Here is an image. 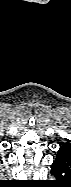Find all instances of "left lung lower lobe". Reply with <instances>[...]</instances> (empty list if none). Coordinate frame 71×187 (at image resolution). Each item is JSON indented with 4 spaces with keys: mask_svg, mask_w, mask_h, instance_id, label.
<instances>
[{
    "mask_svg": "<svg viewBox=\"0 0 71 187\" xmlns=\"http://www.w3.org/2000/svg\"><path fill=\"white\" fill-rule=\"evenodd\" d=\"M51 173L58 180L56 182H68L71 179V145L61 144L56 158L51 166Z\"/></svg>",
    "mask_w": 71,
    "mask_h": 187,
    "instance_id": "obj_1",
    "label": "left lung lower lobe"
}]
</instances>
